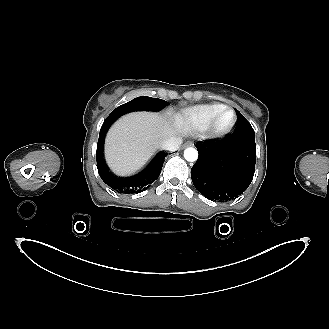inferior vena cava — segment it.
Returning a JSON list of instances; mask_svg holds the SVG:
<instances>
[{"label": "inferior vena cava", "instance_id": "1", "mask_svg": "<svg viewBox=\"0 0 329 329\" xmlns=\"http://www.w3.org/2000/svg\"><path fill=\"white\" fill-rule=\"evenodd\" d=\"M181 143H182V138H180V137H170V138L164 140L160 144V147L162 149L173 152V151H176V150L179 149Z\"/></svg>", "mask_w": 329, "mask_h": 329}]
</instances>
